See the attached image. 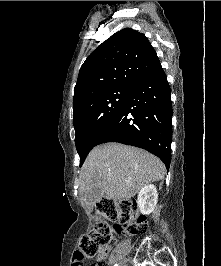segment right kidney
<instances>
[{
    "mask_svg": "<svg viewBox=\"0 0 221 266\" xmlns=\"http://www.w3.org/2000/svg\"><path fill=\"white\" fill-rule=\"evenodd\" d=\"M158 200V193L157 189L154 185H145L141 188L140 192L138 193V200L137 204L141 213L143 214H150Z\"/></svg>",
    "mask_w": 221,
    "mask_h": 266,
    "instance_id": "1",
    "label": "right kidney"
}]
</instances>
